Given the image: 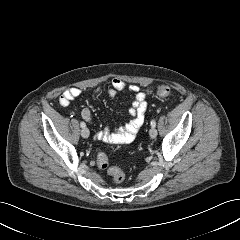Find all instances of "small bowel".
<instances>
[{
    "instance_id": "c3829d8e",
    "label": "small bowel",
    "mask_w": 240,
    "mask_h": 240,
    "mask_svg": "<svg viewBox=\"0 0 240 240\" xmlns=\"http://www.w3.org/2000/svg\"><path fill=\"white\" fill-rule=\"evenodd\" d=\"M128 90L134 95L131 106L129 108V114L132 119L122 127L110 130L104 128L97 132L98 139L111 144H126L134 140L139 130L145 121V112L147 109L146 94L136 84L126 85L124 81L118 78H114L111 84L107 88H99L93 93V98L97 99L103 95H109L114 98L118 92ZM81 95V90L76 87L66 89L59 98L61 106L66 107L70 101L78 98ZM82 118L86 122L92 121V112L89 108H84L81 112Z\"/></svg>"
}]
</instances>
